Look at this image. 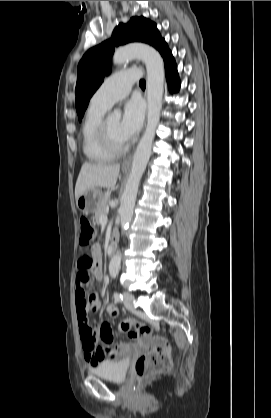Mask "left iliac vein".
<instances>
[{
	"label": "left iliac vein",
	"mask_w": 271,
	"mask_h": 418,
	"mask_svg": "<svg viewBox=\"0 0 271 418\" xmlns=\"http://www.w3.org/2000/svg\"><path fill=\"white\" fill-rule=\"evenodd\" d=\"M124 300L123 303L128 310L134 309V296L130 292H124L123 294Z\"/></svg>",
	"instance_id": "4c4485c4"
}]
</instances>
